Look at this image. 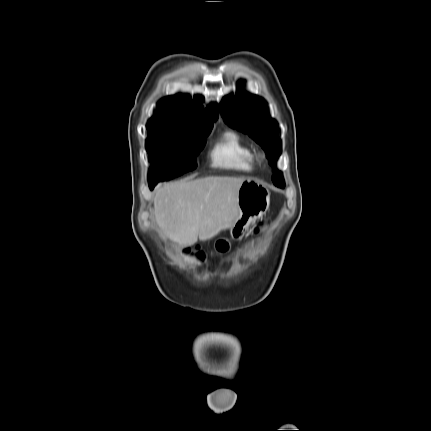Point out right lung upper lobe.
I'll use <instances>...</instances> for the list:
<instances>
[{
  "mask_svg": "<svg viewBox=\"0 0 431 431\" xmlns=\"http://www.w3.org/2000/svg\"><path fill=\"white\" fill-rule=\"evenodd\" d=\"M216 104L199 109L195 102L185 94L168 96L160 100L156 115L149 124H163L188 129H203L213 125L218 118Z\"/></svg>",
  "mask_w": 431,
  "mask_h": 431,
  "instance_id": "obj_1",
  "label": "right lung upper lobe"
}]
</instances>
